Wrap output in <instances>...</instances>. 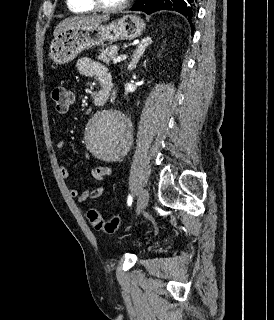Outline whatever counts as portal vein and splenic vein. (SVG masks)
Masks as SVG:
<instances>
[{
	"instance_id": "18ae733b",
	"label": "portal vein and splenic vein",
	"mask_w": 274,
	"mask_h": 320,
	"mask_svg": "<svg viewBox=\"0 0 274 320\" xmlns=\"http://www.w3.org/2000/svg\"><path fill=\"white\" fill-rule=\"evenodd\" d=\"M127 56H117V58H114L113 64H118V62H122V60H126Z\"/></svg>"
}]
</instances>
